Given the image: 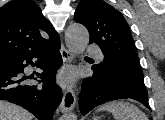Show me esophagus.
<instances>
[{"label": "esophagus", "instance_id": "obj_1", "mask_svg": "<svg viewBox=\"0 0 165 120\" xmlns=\"http://www.w3.org/2000/svg\"><path fill=\"white\" fill-rule=\"evenodd\" d=\"M62 59L64 63H69L73 61V55L64 47H61L60 50ZM76 103V95L73 89L68 88L63 95L61 104H60V111L62 113L70 112L74 109Z\"/></svg>", "mask_w": 165, "mask_h": 120}]
</instances>
